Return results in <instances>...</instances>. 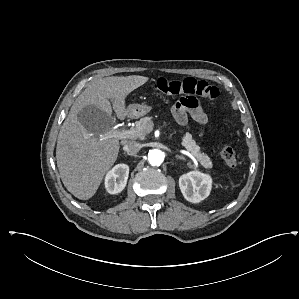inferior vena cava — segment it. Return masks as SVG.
Listing matches in <instances>:
<instances>
[{"mask_svg":"<svg viewBox=\"0 0 299 299\" xmlns=\"http://www.w3.org/2000/svg\"><path fill=\"white\" fill-rule=\"evenodd\" d=\"M141 149V145L136 141H129L125 146L124 150L131 154H136Z\"/></svg>","mask_w":299,"mask_h":299,"instance_id":"602c4592","label":"inferior vena cava"}]
</instances>
